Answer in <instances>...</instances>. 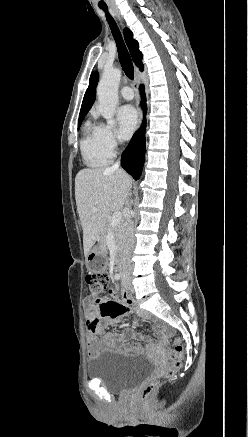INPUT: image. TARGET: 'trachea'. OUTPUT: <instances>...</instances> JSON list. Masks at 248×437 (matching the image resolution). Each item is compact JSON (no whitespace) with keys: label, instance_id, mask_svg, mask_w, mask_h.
I'll return each mask as SVG.
<instances>
[{"label":"trachea","instance_id":"trachea-1","mask_svg":"<svg viewBox=\"0 0 248 437\" xmlns=\"http://www.w3.org/2000/svg\"><path fill=\"white\" fill-rule=\"evenodd\" d=\"M102 9L106 14L107 21L110 25L114 40L116 42L117 49H118V56H119L121 66H122L126 76L129 79H133L134 78V67H133L130 55L128 53V50L124 44V41H123V38H122L121 33L119 31V28H118L116 22L114 21V19L112 18V16L109 14L108 9L106 7H102Z\"/></svg>","mask_w":248,"mask_h":437}]
</instances>
